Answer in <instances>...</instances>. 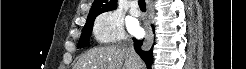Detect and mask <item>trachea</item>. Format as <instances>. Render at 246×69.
<instances>
[{"label":"trachea","mask_w":246,"mask_h":69,"mask_svg":"<svg viewBox=\"0 0 246 69\" xmlns=\"http://www.w3.org/2000/svg\"><path fill=\"white\" fill-rule=\"evenodd\" d=\"M139 4V7L142 11H146V3H145V0H139L138 2Z\"/></svg>","instance_id":"1"}]
</instances>
